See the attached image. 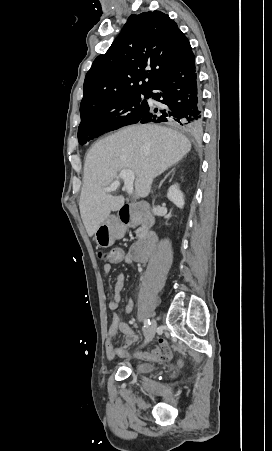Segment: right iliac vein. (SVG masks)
Masks as SVG:
<instances>
[{
    "instance_id": "right-iliac-vein-1",
    "label": "right iliac vein",
    "mask_w": 272,
    "mask_h": 451,
    "mask_svg": "<svg viewBox=\"0 0 272 451\" xmlns=\"http://www.w3.org/2000/svg\"><path fill=\"white\" fill-rule=\"evenodd\" d=\"M156 327H157L156 320L153 319V321H152L150 327H149L148 330H147V333H146V336H145V343H144V344L150 342V341L154 338L155 333H156Z\"/></svg>"
}]
</instances>
